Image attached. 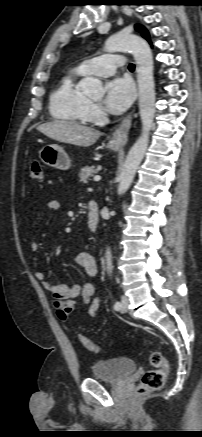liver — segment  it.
<instances>
[{"mask_svg":"<svg viewBox=\"0 0 202 437\" xmlns=\"http://www.w3.org/2000/svg\"><path fill=\"white\" fill-rule=\"evenodd\" d=\"M37 130L58 142L83 147L93 145L102 135L94 128L63 120L43 123L38 126Z\"/></svg>","mask_w":202,"mask_h":437,"instance_id":"liver-1","label":"liver"}]
</instances>
